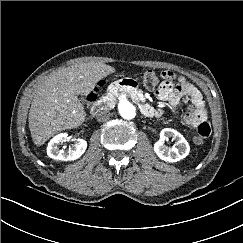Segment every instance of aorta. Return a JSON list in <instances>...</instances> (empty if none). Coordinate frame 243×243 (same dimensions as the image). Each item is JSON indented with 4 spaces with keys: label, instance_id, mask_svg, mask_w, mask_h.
Here are the masks:
<instances>
[{
    "label": "aorta",
    "instance_id": "aorta-1",
    "mask_svg": "<svg viewBox=\"0 0 243 243\" xmlns=\"http://www.w3.org/2000/svg\"><path fill=\"white\" fill-rule=\"evenodd\" d=\"M119 112L124 119H133L136 116L135 106L126 98L122 99L119 103Z\"/></svg>",
    "mask_w": 243,
    "mask_h": 243
}]
</instances>
